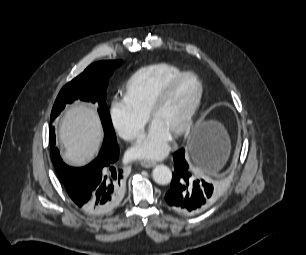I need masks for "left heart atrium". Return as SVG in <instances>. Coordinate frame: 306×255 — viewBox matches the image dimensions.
I'll list each match as a JSON object with an SVG mask.
<instances>
[{
	"instance_id": "1",
	"label": "left heart atrium",
	"mask_w": 306,
	"mask_h": 255,
	"mask_svg": "<svg viewBox=\"0 0 306 255\" xmlns=\"http://www.w3.org/2000/svg\"><path fill=\"white\" fill-rule=\"evenodd\" d=\"M171 140L168 130L152 123L143 139L129 150V155L134 159H160L168 153Z\"/></svg>"
}]
</instances>
